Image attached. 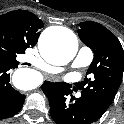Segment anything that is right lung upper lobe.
I'll return each instance as SVG.
<instances>
[{"mask_svg": "<svg viewBox=\"0 0 124 124\" xmlns=\"http://www.w3.org/2000/svg\"><path fill=\"white\" fill-rule=\"evenodd\" d=\"M43 22L27 10H15L0 15V29L10 33L26 50L38 41Z\"/></svg>", "mask_w": 124, "mask_h": 124, "instance_id": "obj_1", "label": "right lung upper lobe"}]
</instances>
